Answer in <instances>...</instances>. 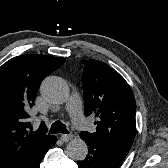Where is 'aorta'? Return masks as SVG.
<instances>
[{
    "mask_svg": "<svg viewBox=\"0 0 168 168\" xmlns=\"http://www.w3.org/2000/svg\"><path fill=\"white\" fill-rule=\"evenodd\" d=\"M43 98L51 104H63L69 97V87L60 77L49 76L45 78L40 87ZM67 155L76 161L84 160L88 154V147L84 140L75 138L67 145Z\"/></svg>",
    "mask_w": 168,
    "mask_h": 168,
    "instance_id": "aorta-1",
    "label": "aorta"
}]
</instances>
